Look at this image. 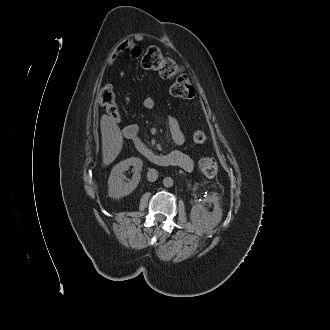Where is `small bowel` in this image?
<instances>
[{
  "label": "small bowel",
  "instance_id": "obj_1",
  "mask_svg": "<svg viewBox=\"0 0 330 330\" xmlns=\"http://www.w3.org/2000/svg\"><path fill=\"white\" fill-rule=\"evenodd\" d=\"M125 51H129L133 59L138 58L141 53V47L133 40H126L116 45L108 57V64L113 65L116 59ZM155 101L152 97L143 99V106L147 109L153 108ZM168 127L173 142L177 145H182L185 141V136L178 120L174 117L168 118ZM170 166H177L185 171H191L194 167L193 159L186 153L174 150L165 155Z\"/></svg>",
  "mask_w": 330,
  "mask_h": 330
}]
</instances>
